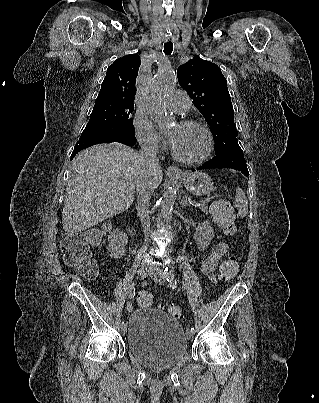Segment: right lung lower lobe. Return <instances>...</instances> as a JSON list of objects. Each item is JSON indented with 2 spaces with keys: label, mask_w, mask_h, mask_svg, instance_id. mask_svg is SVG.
Wrapping results in <instances>:
<instances>
[{
  "label": "right lung lower lobe",
  "mask_w": 319,
  "mask_h": 403,
  "mask_svg": "<svg viewBox=\"0 0 319 403\" xmlns=\"http://www.w3.org/2000/svg\"><path fill=\"white\" fill-rule=\"evenodd\" d=\"M120 142L133 146L136 144L134 132L128 131L121 126L101 125L85 128L79 141L76 143L71 158L79 151L99 143Z\"/></svg>",
  "instance_id": "obj_1"
}]
</instances>
